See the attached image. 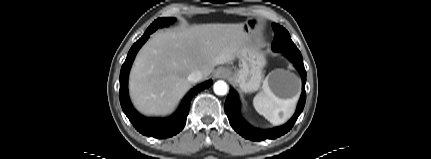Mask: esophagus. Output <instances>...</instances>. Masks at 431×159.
I'll return each mask as SVG.
<instances>
[{"label": "esophagus", "mask_w": 431, "mask_h": 159, "mask_svg": "<svg viewBox=\"0 0 431 159\" xmlns=\"http://www.w3.org/2000/svg\"><path fill=\"white\" fill-rule=\"evenodd\" d=\"M230 71L228 68L226 67H219L218 69H216V71L214 72V77L215 78H225L229 75Z\"/></svg>", "instance_id": "1"}]
</instances>
